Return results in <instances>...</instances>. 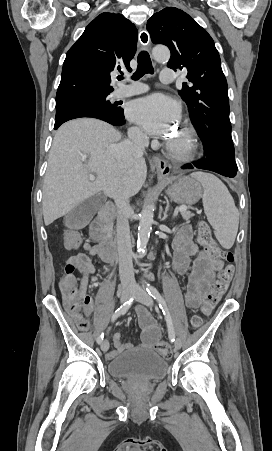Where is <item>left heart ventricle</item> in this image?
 <instances>
[{
    "label": "left heart ventricle",
    "instance_id": "left-heart-ventricle-1",
    "mask_svg": "<svg viewBox=\"0 0 272 451\" xmlns=\"http://www.w3.org/2000/svg\"><path fill=\"white\" fill-rule=\"evenodd\" d=\"M180 136H181L182 138H184V135H183V133H181V134H180Z\"/></svg>",
    "mask_w": 272,
    "mask_h": 451
}]
</instances>
